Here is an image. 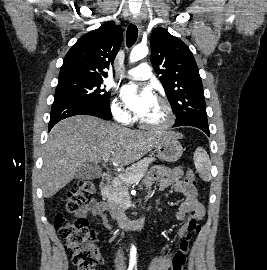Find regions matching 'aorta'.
Returning <instances> with one entry per match:
<instances>
[{"instance_id": "762f6f07", "label": "aorta", "mask_w": 267, "mask_h": 270, "mask_svg": "<svg viewBox=\"0 0 267 270\" xmlns=\"http://www.w3.org/2000/svg\"><path fill=\"white\" fill-rule=\"evenodd\" d=\"M148 55V47L144 45H137L135 46L131 53H130V62H136L138 60L143 59ZM136 259V248L132 246L131 251H130V261L134 262Z\"/></svg>"}]
</instances>
